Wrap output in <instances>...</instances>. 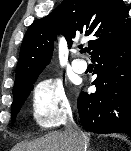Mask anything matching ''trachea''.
Segmentation results:
<instances>
[{"label":"trachea","mask_w":131,"mask_h":151,"mask_svg":"<svg viewBox=\"0 0 131 151\" xmlns=\"http://www.w3.org/2000/svg\"><path fill=\"white\" fill-rule=\"evenodd\" d=\"M80 52H81V53H85V52H86V50H85V49H82Z\"/></svg>","instance_id":"obj_1"}]
</instances>
